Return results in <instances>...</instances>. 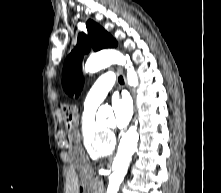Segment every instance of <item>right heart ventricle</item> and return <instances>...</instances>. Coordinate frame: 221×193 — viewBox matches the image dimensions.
<instances>
[{
  "mask_svg": "<svg viewBox=\"0 0 221 193\" xmlns=\"http://www.w3.org/2000/svg\"><path fill=\"white\" fill-rule=\"evenodd\" d=\"M80 134L83 147L90 158L98 159L112 153L115 142L103 126L95 121L94 109H84Z\"/></svg>",
  "mask_w": 221,
  "mask_h": 193,
  "instance_id": "obj_1",
  "label": "right heart ventricle"
}]
</instances>
